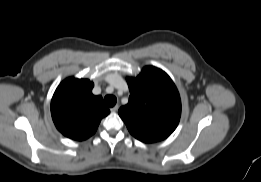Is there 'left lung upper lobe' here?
I'll list each match as a JSON object with an SVG mask.
<instances>
[{
    "mask_svg": "<svg viewBox=\"0 0 261 182\" xmlns=\"http://www.w3.org/2000/svg\"><path fill=\"white\" fill-rule=\"evenodd\" d=\"M130 97L119 116L138 140L152 143L166 139L177 127L181 100L171 78L147 66L136 78H127Z\"/></svg>",
    "mask_w": 261,
    "mask_h": 182,
    "instance_id": "1",
    "label": "left lung upper lobe"
}]
</instances>
